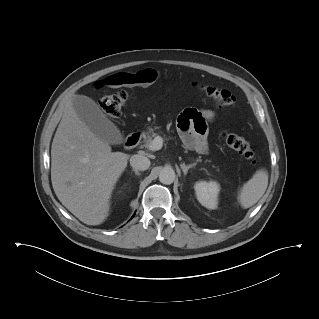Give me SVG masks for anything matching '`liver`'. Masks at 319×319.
<instances>
[{
	"label": "liver",
	"mask_w": 319,
	"mask_h": 319,
	"mask_svg": "<svg viewBox=\"0 0 319 319\" xmlns=\"http://www.w3.org/2000/svg\"><path fill=\"white\" fill-rule=\"evenodd\" d=\"M129 157L112 152L78 117L72 98L66 102L51 147V181L59 201L81 222L99 225L108 217Z\"/></svg>",
	"instance_id": "6515ba94"
}]
</instances>
